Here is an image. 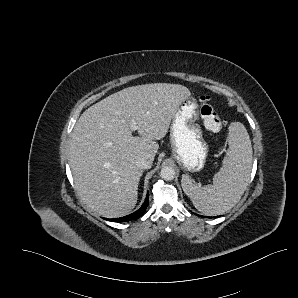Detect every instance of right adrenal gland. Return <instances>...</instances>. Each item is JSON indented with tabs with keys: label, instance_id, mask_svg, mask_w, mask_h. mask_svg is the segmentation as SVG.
Here are the masks:
<instances>
[{
	"label": "right adrenal gland",
	"instance_id": "obj_1",
	"mask_svg": "<svg viewBox=\"0 0 298 298\" xmlns=\"http://www.w3.org/2000/svg\"><path fill=\"white\" fill-rule=\"evenodd\" d=\"M142 173H143V170L140 171V174H141V175H142Z\"/></svg>",
	"mask_w": 298,
	"mask_h": 298
}]
</instances>
